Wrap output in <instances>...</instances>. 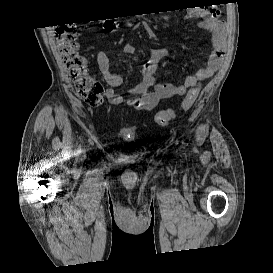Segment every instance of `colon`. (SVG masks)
<instances>
[{"instance_id": "obj_1", "label": "colon", "mask_w": 273, "mask_h": 273, "mask_svg": "<svg viewBox=\"0 0 273 273\" xmlns=\"http://www.w3.org/2000/svg\"><path fill=\"white\" fill-rule=\"evenodd\" d=\"M82 24H71L56 29V41L62 61L73 81L76 94L88 106L96 107L101 104L105 94V86L89 70L88 61L78 48L77 37ZM198 88L191 89L185 96L178 109H166L157 113L155 120L161 126L168 125L178 111H186L194 103Z\"/></svg>"}]
</instances>
